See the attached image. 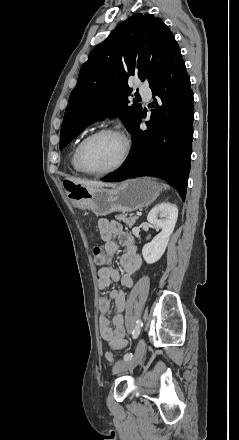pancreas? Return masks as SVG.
<instances>
[{
  "mask_svg": "<svg viewBox=\"0 0 239 440\" xmlns=\"http://www.w3.org/2000/svg\"><path fill=\"white\" fill-rule=\"evenodd\" d=\"M115 218L116 220H119V222H124V224L129 226V228H132L136 220H138V216H133V214H129L128 218L125 216V214H119V216H115Z\"/></svg>",
  "mask_w": 239,
  "mask_h": 440,
  "instance_id": "cf45deb5",
  "label": "pancreas"
}]
</instances>
